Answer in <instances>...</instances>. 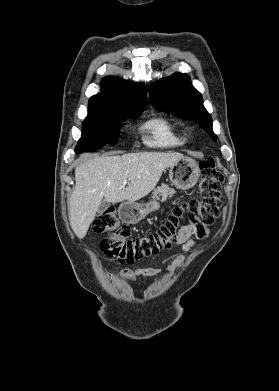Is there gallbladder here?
<instances>
[{"instance_id": "bac80fb5", "label": "gallbladder", "mask_w": 279, "mask_h": 391, "mask_svg": "<svg viewBox=\"0 0 279 391\" xmlns=\"http://www.w3.org/2000/svg\"><path fill=\"white\" fill-rule=\"evenodd\" d=\"M110 205H111L110 202H108L106 200H102L100 205H99V208L97 210L98 214L103 213Z\"/></svg>"}]
</instances>
